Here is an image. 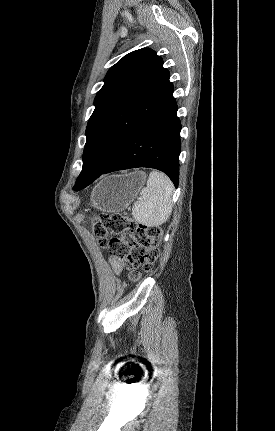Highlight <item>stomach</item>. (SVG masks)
Instances as JSON below:
<instances>
[{"label":"stomach","mask_w":275,"mask_h":431,"mask_svg":"<svg viewBox=\"0 0 275 431\" xmlns=\"http://www.w3.org/2000/svg\"><path fill=\"white\" fill-rule=\"evenodd\" d=\"M146 181L142 171L104 178L93 190V207L103 212L123 211L137 196Z\"/></svg>","instance_id":"1"}]
</instances>
